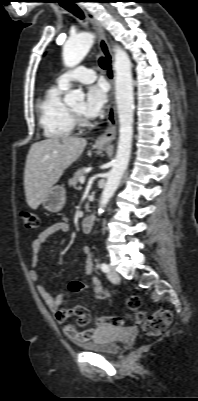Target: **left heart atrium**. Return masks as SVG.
I'll use <instances>...</instances> for the list:
<instances>
[{
    "label": "left heart atrium",
    "instance_id": "1",
    "mask_svg": "<svg viewBox=\"0 0 198 401\" xmlns=\"http://www.w3.org/2000/svg\"><path fill=\"white\" fill-rule=\"evenodd\" d=\"M107 102V88L103 82L87 88L83 113L87 118L99 116Z\"/></svg>",
    "mask_w": 198,
    "mask_h": 401
}]
</instances>
